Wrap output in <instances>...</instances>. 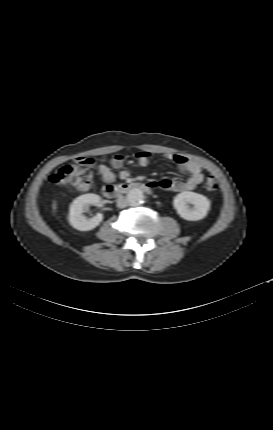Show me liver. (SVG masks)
<instances>
[{"label":"liver","instance_id":"1","mask_svg":"<svg viewBox=\"0 0 273 430\" xmlns=\"http://www.w3.org/2000/svg\"><path fill=\"white\" fill-rule=\"evenodd\" d=\"M57 206H56V202L53 203V209L56 210Z\"/></svg>","mask_w":273,"mask_h":430}]
</instances>
